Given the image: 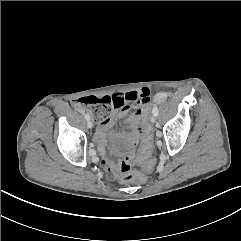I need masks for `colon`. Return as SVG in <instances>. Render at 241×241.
<instances>
[{"label":"colon","mask_w":241,"mask_h":241,"mask_svg":"<svg viewBox=\"0 0 241 241\" xmlns=\"http://www.w3.org/2000/svg\"><path fill=\"white\" fill-rule=\"evenodd\" d=\"M76 106L79 110L88 112L92 116V118L98 123H102L110 119L115 108L114 102L110 98H99L96 96L81 97L77 100ZM151 133L152 123L150 121H145L142 127L140 157H137L133 160L125 157L119 162L118 168L120 173L122 174V182L140 184L145 181V172L150 175L154 173L155 170L152 167V160L150 158ZM132 165L135 167L139 166L141 171H133Z\"/></svg>","instance_id":"5ec220e1"}]
</instances>
